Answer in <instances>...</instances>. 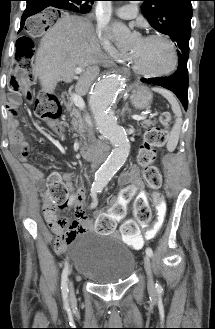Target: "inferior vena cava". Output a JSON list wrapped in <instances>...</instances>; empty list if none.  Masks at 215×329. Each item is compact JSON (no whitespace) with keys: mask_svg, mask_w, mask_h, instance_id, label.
<instances>
[{"mask_svg":"<svg viewBox=\"0 0 215 329\" xmlns=\"http://www.w3.org/2000/svg\"><path fill=\"white\" fill-rule=\"evenodd\" d=\"M86 129H87V133H88V137H89V139H90L91 141H94V135H93V132H92V130H91L89 127H87V124H86Z\"/></svg>","mask_w":215,"mask_h":329,"instance_id":"1","label":"inferior vena cava"}]
</instances>
